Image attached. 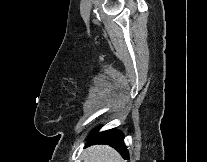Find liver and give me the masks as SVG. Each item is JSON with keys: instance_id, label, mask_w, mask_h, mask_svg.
Here are the masks:
<instances>
[{"instance_id": "liver-1", "label": "liver", "mask_w": 207, "mask_h": 162, "mask_svg": "<svg viewBox=\"0 0 207 162\" xmlns=\"http://www.w3.org/2000/svg\"><path fill=\"white\" fill-rule=\"evenodd\" d=\"M84 162H124L120 154L110 146L95 145L82 154Z\"/></svg>"}]
</instances>
